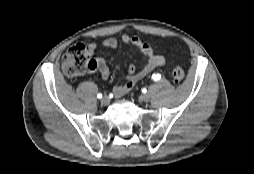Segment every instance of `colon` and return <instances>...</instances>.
Masks as SVG:
<instances>
[{
    "mask_svg": "<svg viewBox=\"0 0 254 174\" xmlns=\"http://www.w3.org/2000/svg\"><path fill=\"white\" fill-rule=\"evenodd\" d=\"M62 67L66 73L74 76L90 71L93 63L89 60L87 48L81 43L72 45L62 57ZM172 77L175 83H180L184 80L185 73L176 67L172 71Z\"/></svg>",
    "mask_w": 254,
    "mask_h": 174,
    "instance_id": "1",
    "label": "colon"
}]
</instances>
